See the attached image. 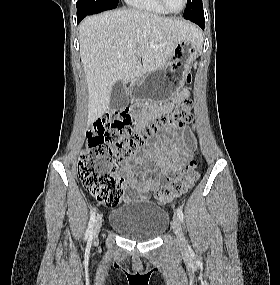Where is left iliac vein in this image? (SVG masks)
<instances>
[{
    "label": "left iliac vein",
    "mask_w": 280,
    "mask_h": 285,
    "mask_svg": "<svg viewBox=\"0 0 280 285\" xmlns=\"http://www.w3.org/2000/svg\"><path fill=\"white\" fill-rule=\"evenodd\" d=\"M172 228L176 235V238L180 244L184 242L183 231L181 227V223L177 214H174L173 221H172Z\"/></svg>",
    "instance_id": "left-iliac-vein-1"
}]
</instances>
